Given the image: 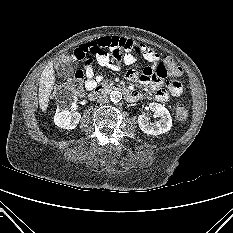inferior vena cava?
Wrapping results in <instances>:
<instances>
[{
    "label": "inferior vena cava",
    "instance_id": "1",
    "mask_svg": "<svg viewBox=\"0 0 233 233\" xmlns=\"http://www.w3.org/2000/svg\"><path fill=\"white\" fill-rule=\"evenodd\" d=\"M108 100H109V97L106 94L97 95V101L101 104L107 103Z\"/></svg>",
    "mask_w": 233,
    "mask_h": 233
}]
</instances>
